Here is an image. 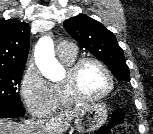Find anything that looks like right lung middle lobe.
I'll use <instances>...</instances> for the list:
<instances>
[{
	"label": "right lung middle lobe",
	"instance_id": "obj_1",
	"mask_svg": "<svg viewBox=\"0 0 153 134\" xmlns=\"http://www.w3.org/2000/svg\"><path fill=\"white\" fill-rule=\"evenodd\" d=\"M24 68H0V105H23L16 86L21 82Z\"/></svg>",
	"mask_w": 153,
	"mask_h": 134
}]
</instances>
